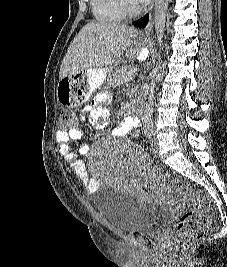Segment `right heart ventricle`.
I'll return each mask as SVG.
<instances>
[{"label": "right heart ventricle", "mask_w": 227, "mask_h": 267, "mask_svg": "<svg viewBox=\"0 0 227 267\" xmlns=\"http://www.w3.org/2000/svg\"><path fill=\"white\" fill-rule=\"evenodd\" d=\"M91 7L99 22L116 23L123 19L117 0H91Z\"/></svg>", "instance_id": "e07e8e85"}]
</instances>
